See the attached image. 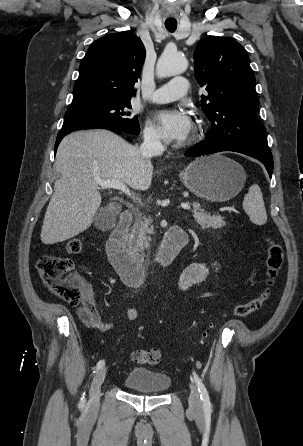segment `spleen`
I'll return each mask as SVG.
<instances>
[{"label":"spleen","mask_w":303,"mask_h":446,"mask_svg":"<svg viewBox=\"0 0 303 446\" xmlns=\"http://www.w3.org/2000/svg\"><path fill=\"white\" fill-rule=\"evenodd\" d=\"M243 209L249 215L250 220L257 225H263L267 221L266 209L262 192L257 184L251 185L243 200Z\"/></svg>","instance_id":"spleen-1"}]
</instances>
